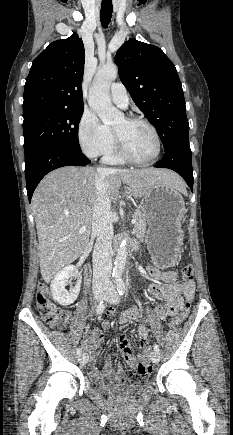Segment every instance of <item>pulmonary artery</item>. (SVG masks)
<instances>
[{"mask_svg": "<svg viewBox=\"0 0 233 435\" xmlns=\"http://www.w3.org/2000/svg\"><path fill=\"white\" fill-rule=\"evenodd\" d=\"M110 97L112 101L122 108H126L129 103L128 93L121 83H114L110 89Z\"/></svg>", "mask_w": 233, "mask_h": 435, "instance_id": "obj_1", "label": "pulmonary artery"}]
</instances>
